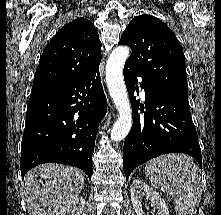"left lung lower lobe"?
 <instances>
[{
	"mask_svg": "<svg viewBox=\"0 0 221 215\" xmlns=\"http://www.w3.org/2000/svg\"><path fill=\"white\" fill-rule=\"evenodd\" d=\"M133 69L124 66V80L132 103L133 125L123 147L126 179L131 171L162 154L181 152L194 157L202 168L201 149L191 115L188 96L166 89L144 77L145 102L134 97L139 91ZM140 105V107H139Z\"/></svg>",
	"mask_w": 221,
	"mask_h": 215,
	"instance_id": "1",
	"label": "left lung lower lobe"
}]
</instances>
